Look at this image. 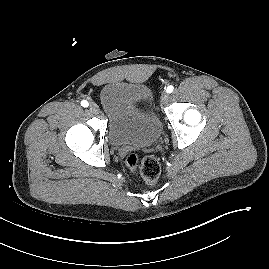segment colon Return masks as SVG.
I'll return each mask as SVG.
<instances>
[{
    "instance_id": "5ec220e1",
    "label": "colon",
    "mask_w": 269,
    "mask_h": 269,
    "mask_svg": "<svg viewBox=\"0 0 269 269\" xmlns=\"http://www.w3.org/2000/svg\"><path fill=\"white\" fill-rule=\"evenodd\" d=\"M125 166L132 172H137L148 184L155 183L161 172L158 160L147 155L142 158L137 153H130L125 159Z\"/></svg>"
}]
</instances>
